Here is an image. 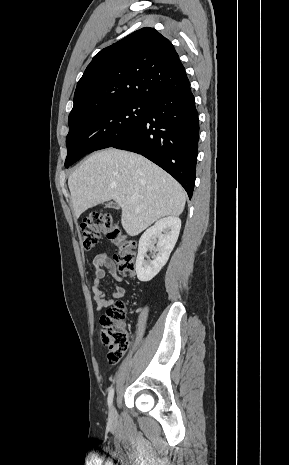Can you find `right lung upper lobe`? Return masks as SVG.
<instances>
[{
	"label": "right lung upper lobe",
	"mask_w": 289,
	"mask_h": 465,
	"mask_svg": "<svg viewBox=\"0 0 289 465\" xmlns=\"http://www.w3.org/2000/svg\"><path fill=\"white\" fill-rule=\"evenodd\" d=\"M189 85L171 42L155 29H139L94 56L78 81L69 128L88 108L126 100L151 101Z\"/></svg>",
	"instance_id": "right-lung-upper-lobe-1"
}]
</instances>
